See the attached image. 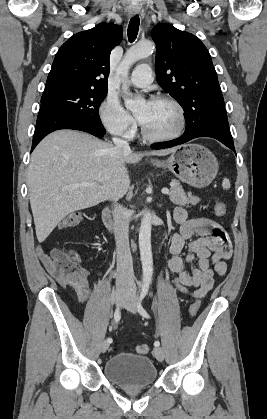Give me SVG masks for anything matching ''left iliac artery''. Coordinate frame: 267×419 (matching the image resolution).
I'll list each match as a JSON object with an SVG mask.
<instances>
[{
    "instance_id": "1",
    "label": "left iliac artery",
    "mask_w": 267,
    "mask_h": 419,
    "mask_svg": "<svg viewBox=\"0 0 267 419\" xmlns=\"http://www.w3.org/2000/svg\"><path fill=\"white\" fill-rule=\"evenodd\" d=\"M147 292H148V288H147V287H144V288L142 289V292H141L140 297H139V301H138L137 309H138V312L140 313V315H142V316H143V317H145V318H150L149 314H148V313H147V311H146V310L142 307V304H141V302H142V300L144 299V297L146 296ZM154 346H155V347H159V346H160V342H159V341H155V342H154Z\"/></svg>"
}]
</instances>
